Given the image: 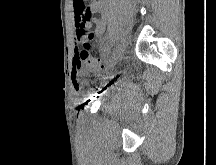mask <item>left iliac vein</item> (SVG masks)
<instances>
[{
	"label": "left iliac vein",
	"mask_w": 216,
	"mask_h": 165,
	"mask_svg": "<svg viewBox=\"0 0 216 165\" xmlns=\"http://www.w3.org/2000/svg\"><path fill=\"white\" fill-rule=\"evenodd\" d=\"M126 47H127L126 39H122L115 47L112 54L109 56L107 61L108 67H113L119 62V60L121 59V57L123 56L126 50Z\"/></svg>",
	"instance_id": "obj_1"
}]
</instances>
